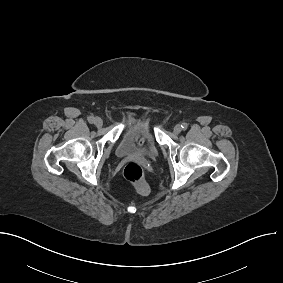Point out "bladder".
I'll return each mask as SVG.
<instances>
[{
    "instance_id": "31cf9c89",
    "label": "bladder",
    "mask_w": 283,
    "mask_h": 283,
    "mask_svg": "<svg viewBox=\"0 0 283 283\" xmlns=\"http://www.w3.org/2000/svg\"><path fill=\"white\" fill-rule=\"evenodd\" d=\"M157 142L146 120H135L124 130L116 147L120 158H154Z\"/></svg>"
}]
</instances>
